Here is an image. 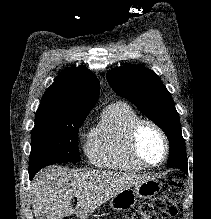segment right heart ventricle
<instances>
[{
  "label": "right heart ventricle",
  "mask_w": 211,
  "mask_h": 219,
  "mask_svg": "<svg viewBox=\"0 0 211 219\" xmlns=\"http://www.w3.org/2000/svg\"><path fill=\"white\" fill-rule=\"evenodd\" d=\"M139 119L135 110L125 102L108 105L97 128L91 133L85 152L89 161L98 167L134 172L142 167L129 149L131 126Z\"/></svg>",
  "instance_id": "right-heart-ventricle-1"
}]
</instances>
